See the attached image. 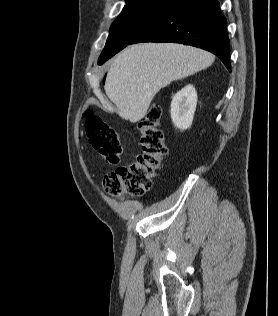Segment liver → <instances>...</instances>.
Listing matches in <instances>:
<instances>
[{
	"label": "liver",
	"mask_w": 278,
	"mask_h": 316,
	"mask_svg": "<svg viewBox=\"0 0 278 316\" xmlns=\"http://www.w3.org/2000/svg\"><path fill=\"white\" fill-rule=\"evenodd\" d=\"M213 62L211 53L181 44L131 45L114 58L104 89L118 115L135 123L146 115L161 88L204 70Z\"/></svg>",
	"instance_id": "1"
}]
</instances>
